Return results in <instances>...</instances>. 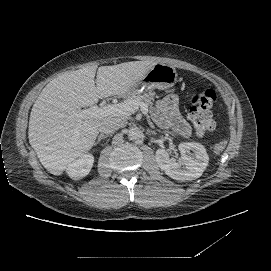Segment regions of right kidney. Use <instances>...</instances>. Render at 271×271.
Returning a JSON list of instances; mask_svg holds the SVG:
<instances>
[{"label":"right kidney","instance_id":"ca27d5eb","mask_svg":"<svg viewBox=\"0 0 271 271\" xmlns=\"http://www.w3.org/2000/svg\"><path fill=\"white\" fill-rule=\"evenodd\" d=\"M93 161V156L87 155L75 160L71 166L66 167V170L69 172L71 178L82 179L90 172Z\"/></svg>","mask_w":271,"mask_h":271}]
</instances>
